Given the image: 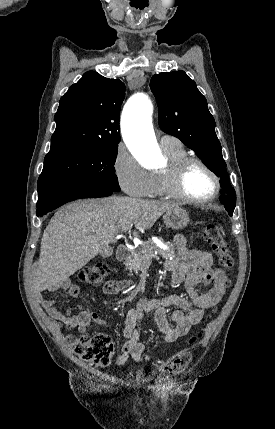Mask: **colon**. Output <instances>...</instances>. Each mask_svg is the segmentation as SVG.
Instances as JSON below:
<instances>
[{"label":"colon","instance_id":"5ec220e1","mask_svg":"<svg viewBox=\"0 0 275 429\" xmlns=\"http://www.w3.org/2000/svg\"><path fill=\"white\" fill-rule=\"evenodd\" d=\"M206 241L211 246L218 258L219 265L226 272L223 279V286L230 285L229 272L233 268L234 260L229 244L217 225L208 224L203 230ZM109 268L104 263H93L85 266L79 273V278L89 285H99L108 274ZM200 334L193 336L190 342L197 340ZM69 346L73 353L81 360L96 367L104 368L110 363L113 355L114 345L111 338L105 334L94 336H77L69 338ZM192 361V354L189 351H181L175 355L165 366L163 378L169 379L184 373Z\"/></svg>","mask_w":275,"mask_h":429}]
</instances>
